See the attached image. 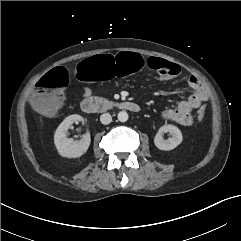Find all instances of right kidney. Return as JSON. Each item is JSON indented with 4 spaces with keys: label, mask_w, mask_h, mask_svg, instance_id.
<instances>
[{
    "label": "right kidney",
    "mask_w": 241,
    "mask_h": 241,
    "mask_svg": "<svg viewBox=\"0 0 241 241\" xmlns=\"http://www.w3.org/2000/svg\"><path fill=\"white\" fill-rule=\"evenodd\" d=\"M80 121H83V118L80 115L74 114L66 117L58 126L54 135V143L58 153L62 157L77 158L87 152L91 142L89 133L83 135L82 139L79 141L67 138V131L70 126L73 123H78Z\"/></svg>",
    "instance_id": "ca27d5eb"
}]
</instances>
